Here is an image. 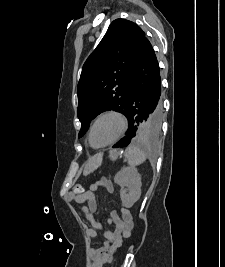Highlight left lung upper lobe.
Returning a JSON list of instances; mask_svg holds the SVG:
<instances>
[{
  "label": "left lung upper lobe",
  "mask_w": 225,
  "mask_h": 267,
  "mask_svg": "<svg viewBox=\"0 0 225 267\" xmlns=\"http://www.w3.org/2000/svg\"><path fill=\"white\" fill-rule=\"evenodd\" d=\"M146 39L144 31L132 21L116 19L111 23L82 68L77 88L79 138L103 111L126 115L134 72ZM160 127L152 124L151 119L141 120L136 134L152 138L158 135Z\"/></svg>",
  "instance_id": "left-lung-upper-lobe-1"
}]
</instances>
